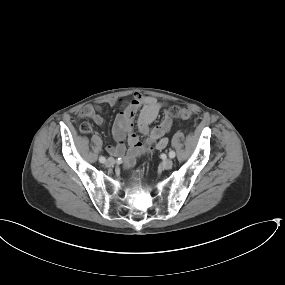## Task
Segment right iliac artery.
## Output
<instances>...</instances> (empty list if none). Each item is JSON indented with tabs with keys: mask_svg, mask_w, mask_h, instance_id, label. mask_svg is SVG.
Returning <instances> with one entry per match:
<instances>
[{
	"mask_svg": "<svg viewBox=\"0 0 285 285\" xmlns=\"http://www.w3.org/2000/svg\"><path fill=\"white\" fill-rule=\"evenodd\" d=\"M119 160H120V158H118L117 163H119ZM99 161H100L101 163H104V162L106 161V160H105V157L100 156V157H99Z\"/></svg>",
	"mask_w": 285,
	"mask_h": 285,
	"instance_id": "obj_1",
	"label": "right iliac artery"
}]
</instances>
